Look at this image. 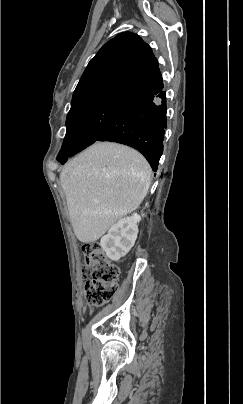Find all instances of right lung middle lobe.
<instances>
[{
    "instance_id": "right-lung-middle-lobe-1",
    "label": "right lung middle lobe",
    "mask_w": 243,
    "mask_h": 404,
    "mask_svg": "<svg viewBox=\"0 0 243 404\" xmlns=\"http://www.w3.org/2000/svg\"><path fill=\"white\" fill-rule=\"evenodd\" d=\"M124 100H101L70 110L66 136L57 156L61 163L96 142L107 124L126 104Z\"/></svg>"
}]
</instances>
